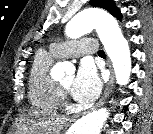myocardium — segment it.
Here are the masks:
<instances>
[{
	"instance_id": "obj_1",
	"label": "myocardium",
	"mask_w": 153,
	"mask_h": 134,
	"mask_svg": "<svg viewBox=\"0 0 153 134\" xmlns=\"http://www.w3.org/2000/svg\"><path fill=\"white\" fill-rule=\"evenodd\" d=\"M59 87H60L62 93H64V94L67 93L68 89L66 87H64L61 83H59Z\"/></svg>"
}]
</instances>
